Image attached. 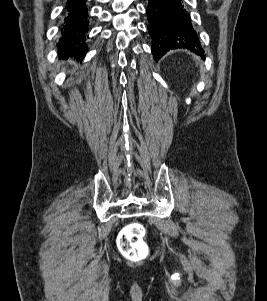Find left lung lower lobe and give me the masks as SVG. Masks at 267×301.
Wrapping results in <instances>:
<instances>
[{"label":"left lung lower lobe","instance_id":"left-lung-lower-lobe-1","mask_svg":"<svg viewBox=\"0 0 267 301\" xmlns=\"http://www.w3.org/2000/svg\"><path fill=\"white\" fill-rule=\"evenodd\" d=\"M147 17L155 60H159L167 51L177 48L188 49L205 58L182 0H149Z\"/></svg>","mask_w":267,"mask_h":301}]
</instances>
